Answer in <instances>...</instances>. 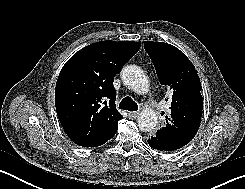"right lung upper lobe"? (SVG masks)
<instances>
[{"label": "right lung upper lobe", "mask_w": 245, "mask_h": 189, "mask_svg": "<svg viewBox=\"0 0 245 189\" xmlns=\"http://www.w3.org/2000/svg\"><path fill=\"white\" fill-rule=\"evenodd\" d=\"M134 41H100L79 50L63 66L55 106L69 138L82 147L106 143L123 117L115 105L114 77L140 49Z\"/></svg>", "instance_id": "1"}]
</instances>
